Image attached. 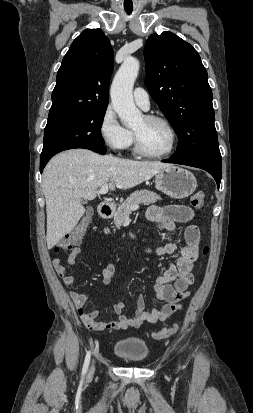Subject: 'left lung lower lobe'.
Listing matches in <instances>:
<instances>
[{"label": "left lung lower lobe", "instance_id": "0a47b994", "mask_svg": "<svg viewBox=\"0 0 253 413\" xmlns=\"http://www.w3.org/2000/svg\"><path fill=\"white\" fill-rule=\"evenodd\" d=\"M162 162L183 164L187 166L201 168L209 172L215 179L219 189L222 177V161L221 158L213 157H197V158H174L162 160Z\"/></svg>", "mask_w": 253, "mask_h": 413}]
</instances>
